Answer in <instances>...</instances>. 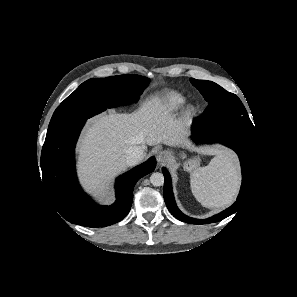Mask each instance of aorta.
I'll return each instance as SVG.
<instances>
[{
  "instance_id": "aorta-1",
  "label": "aorta",
  "mask_w": 297,
  "mask_h": 297,
  "mask_svg": "<svg viewBox=\"0 0 297 297\" xmlns=\"http://www.w3.org/2000/svg\"><path fill=\"white\" fill-rule=\"evenodd\" d=\"M150 182L153 186H162L164 184V176L162 173L155 172L150 176Z\"/></svg>"
}]
</instances>
